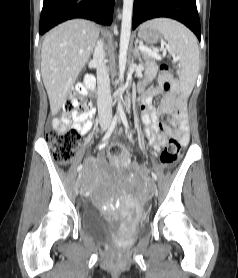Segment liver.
<instances>
[{
  "label": "liver",
  "instance_id": "obj_1",
  "mask_svg": "<svg viewBox=\"0 0 238 278\" xmlns=\"http://www.w3.org/2000/svg\"><path fill=\"white\" fill-rule=\"evenodd\" d=\"M98 37L97 25L83 19L66 21L45 36L41 49V76L53 115L66 102Z\"/></svg>",
  "mask_w": 238,
  "mask_h": 278
}]
</instances>
